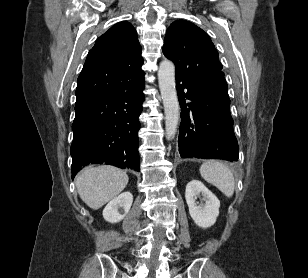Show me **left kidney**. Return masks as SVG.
<instances>
[{
	"instance_id": "1",
	"label": "left kidney",
	"mask_w": 308,
	"mask_h": 278,
	"mask_svg": "<svg viewBox=\"0 0 308 278\" xmlns=\"http://www.w3.org/2000/svg\"><path fill=\"white\" fill-rule=\"evenodd\" d=\"M203 196L204 205H197L195 198ZM189 213L195 224L201 228H209L215 224L219 216L220 201L205 185L198 181H190L185 191Z\"/></svg>"
}]
</instances>
